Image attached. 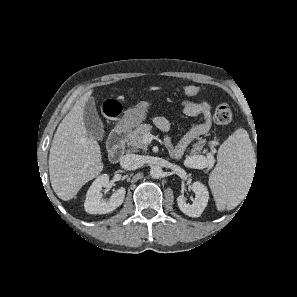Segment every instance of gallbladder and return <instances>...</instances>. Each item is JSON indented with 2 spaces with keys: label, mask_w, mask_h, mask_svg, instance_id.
<instances>
[{
  "label": "gallbladder",
  "mask_w": 297,
  "mask_h": 297,
  "mask_svg": "<svg viewBox=\"0 0 297 297\" xmlns=\"http://www.w3.org/2000/svg\"><path fill=\"white\" fill-rule=\"evenodd\" d=\"M83 121L86 131L96 140L102 141L105 136L104 124L97 112L93 98H89L84 107Z\"/></svg>",
  "instance_id": "gallbladder-1"
}]
</instances>
